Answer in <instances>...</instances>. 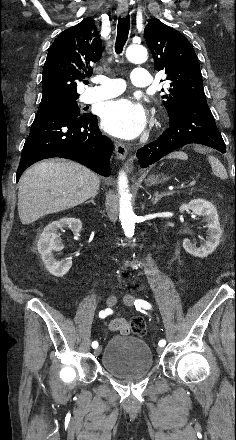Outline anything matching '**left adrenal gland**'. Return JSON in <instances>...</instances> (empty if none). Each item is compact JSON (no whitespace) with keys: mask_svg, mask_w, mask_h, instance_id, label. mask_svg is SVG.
Segmentation results:
<instances>
[{"mask_svg":"<svg viewBox=\"0 0 236 440\" xmlns=\"http://www.w3.org/2000/svg\"><path fill=\"white\" fill-rule=\"evenodd\" d=\"M172 193L168 192V193H159L158 191H155L154 193V197L152 199V203L156 204L162 197L166 196V195H171Z\"/></svg>","mask_w":236,"mask_h":440,"instance_id":"a2214340","label":"left adrenal gland"}]
</instances>
